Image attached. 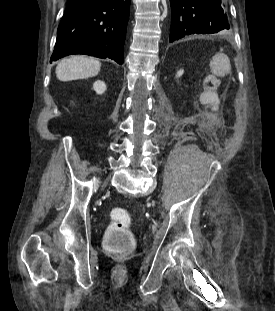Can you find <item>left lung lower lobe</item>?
<instances>
[{
	"label": "left lung lower lobe",
	"mask_w": 275,
	"mask_h": 311,
	"mask_svg": "<svg viewBox=\"0 0 275 311\" xmlns=\"http://www.w3.org/2000/svg\"><path fill=\"white\" fill-rule=\"evenodd\" d=\"M170 42L193 34H214L230 28L223 0H170Z\"/></svg>",
	"instance_id": "0a47b994"
}]
</instances>
